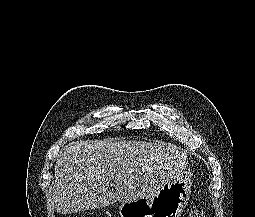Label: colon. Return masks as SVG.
I'll use <instances>...</instances> for the list:
<instances>
[{
	"label": "colon",
	"mask_w": 255,
	"mask_h": 217,
	"mask_svg": "<svg viewBox=\"0 0 255 217\" xmlns=\"http://www.w3.org/2000/svg\"><path fill=\"white\" fill-rule=\"evenodd\" d=\"M187 217H203V211L199 206H193L189 212Z\"/></svg>",
	"instance_id": "colon-1"
}]
</instances>
